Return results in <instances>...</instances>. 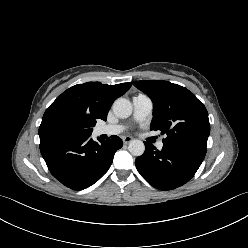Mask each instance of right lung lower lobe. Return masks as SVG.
I'll return each mask as SVG.
<instances>
[{"instance_id": "obj_1", "label": "right lung lower lobe", "mask_w": 248, "mask_h": 248, "mask_svg": "<svg viewBox=\"0 0 248 248\" xmlns=\"http://www.w3.org/2000/svg\"><path fill=\"white\" fill-rule=\"evenodd\" d=\"M122 145L116 135L100 143L90 135L40 137V151L49 171L73 190L86 189L97 182L108 171Z\"/></svg>"}]
</instances>
